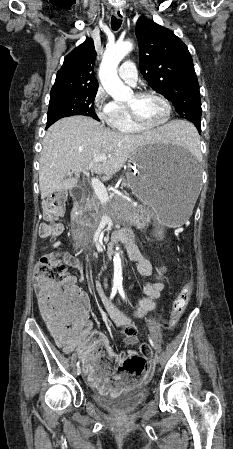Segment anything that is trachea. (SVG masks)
Here are the masks:
<instances>
[{"mask_svg": "<svg viewBox=\"0 0 233 449\" xmlns=\"http://www.w3.org/2000/svg\"><path fill=\"white\" fill-rule=\"evenodd\" d=\"M121 23H122V20L116 18L115 16H112V18H111V28L114 31H117L120 28Z\"/></svg>", "mask_w": 233, "mask_h": 449, "instance_id": "obj_1", "label": "trachea"}]
</instances>
